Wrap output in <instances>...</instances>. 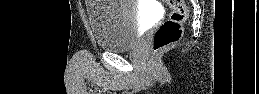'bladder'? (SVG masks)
Instances as JSON below:
<instances>
[{"instance_id": "bladder-1", "label": "bladder", "mask_w": 259, "mask_h": 94, "mask_svg": "<svg viewBox=\"0 0 259 94\" xmlns=\"http://www.w3.org/2000/svg\"><path fill=\"white\" fill-rule=\"evenodd\" d=\"M87 17L97 46L109 52L134 48L144 25L134 0L88 1Z\"/></svg>"}]
</instances>
